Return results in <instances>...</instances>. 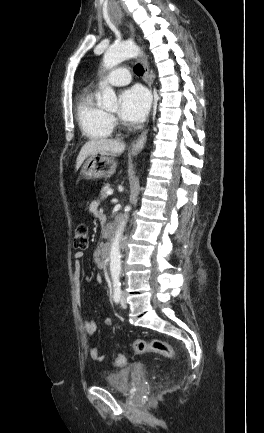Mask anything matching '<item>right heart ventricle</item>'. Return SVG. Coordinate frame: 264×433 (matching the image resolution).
Segmentation results:
<instances>
[{"label": "right heart ventricle", "mask_w": 264, "mask_h": 433, "mask_svg": "<svg viewBox=\"0 0 264 433\" xmlns=\"http://www.w3.org/2000/svg\"><path fill=\"white\" fill-rule=\"evenodd\" d=\"M76 117L82 133L89 139H104L113 132L109 115L98 105L96 94L92 91H84L79 95Z\"/></svg>", "instance_id": "right-heart-ventricle-1"}]
</instances>
